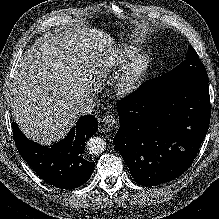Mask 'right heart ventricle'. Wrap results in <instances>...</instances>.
<instances>
[{
	"label": "right heart ventricle",
	"mask_w": 219,
	"mask_h": 219,
	"mask_svg": "<svg viewBox=\"0 0 219 219\" xmlns=\"http://www.w3.org/2000/svg\"><path fill=\"white\" fill-rule=\"evenodd\" d=\"M139 54V49L131 46H122L115 50L110 57H108L101 67V71L107 75L115 72L125 63L132 60Z\"/></svg>",
	"instance_id": "right-heart-ventricle-1"
}]
</instances>
